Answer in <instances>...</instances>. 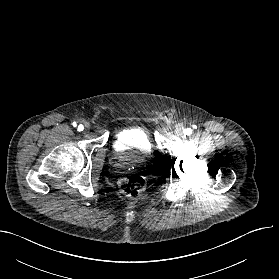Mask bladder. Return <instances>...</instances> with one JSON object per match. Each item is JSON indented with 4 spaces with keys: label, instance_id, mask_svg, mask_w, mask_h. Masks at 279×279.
Returning a JSON list of instances; mask_svg holds the SVG:
<instances>
[{
    "label": "bladder",
    "instance_id": "1",
    "mask_svg": "<svg viewBox=\"0 0 279 279\" xmlns=\"http://www.w3.org/2000/svg\"><path fill=\"white\" fill-rule=\"evenodd\" d=\"M113 147L122 165H138L155 154L152 137L143 127H130L117 132Z\"/></svg>",
    "mask_w": 279,
    "mask_h": 279
}]
</instances>
